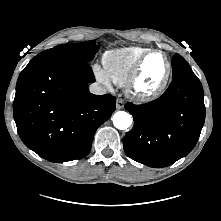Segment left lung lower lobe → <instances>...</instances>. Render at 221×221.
<instances>
[{"label":"left lung lower lobe","instance_id":"left-lung-lower-lobe-1","mask_svg":"<svg viewBox=\"0 0 221 221\" xmlns=\"http://www.w3.org/2000/svg\"><path fill=\"white\" fill-rule=\"evenodd\" d=\"M134 127L124 139L131 159L154 168L173 164L195 147L204 121L203 89L194 73L173 79L165 93L143 105H125Z\"/></svg>","mask_w":221,"mask_h":221}]
</instances>
